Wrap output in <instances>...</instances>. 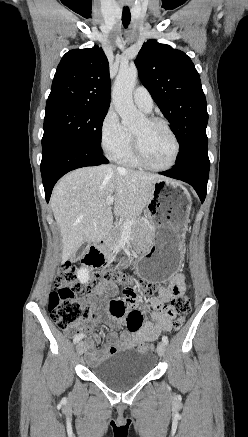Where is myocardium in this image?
<instances>
[{
  "label": "myocardium",
  "mask_w": 248,
  "mask_h": 437,
  "mask_svg": "<svg viewBox=\"0 0 248 437\" xmlns=\"http://www.w3.org/2000/svg\"><path fill=\"white\" fill-rule=\"evenodd\" d=\"M145 120L149 124H161L162 126H164L165 129L168 131V133L170 134V136L173 139L175 149H174L172 159L168 164L163 165V166L152 165L145 158L138 138L134 134H132V148H133V152H134L136 159L143 167L150 169V170L163 171V170H167V169L172 168L175 165V163L177 162V159H178L179 153H180V142L178 140L177 135L175 134V132L173 131V129L171 128L169 123L166 120H164L163 118L151 116V117H146Z\"/></svg>",
  "instance_id": "f54148a6"
}]
</instances>
